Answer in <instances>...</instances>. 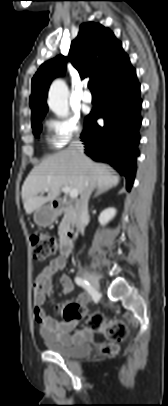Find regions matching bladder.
<instances>
[{
	"label": "bladder",
	"instance_id": "bladder-1",
	"mask_svg": "<svg viewBox=\"0 0 168 406\" xmlns=\"http://www.w3.org/2000/svg\"><path fill=\"white\" fill-rule=\"evenodd\" d=\"M44 343L49 351L67 358H82L91 353V346L87 342L62 344L44 338Z\"/></svg>",
	"mask_w": 168,
	"mask_h": 406
}]
</instances>
